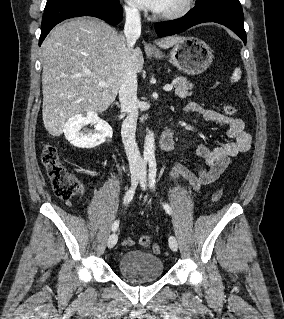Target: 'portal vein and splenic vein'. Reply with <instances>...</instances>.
<instances>
[{
  "instance_id": "obj_1",
  "label": "portal vein and splenic vein",
  "mask_w": 284,
  "mask_h": 319,
  "mask_svg": "<svg viewBox=\"0 0 284 319\" xmlns=\"http://www.w3.org/2000/svg\"><path fill=\"white\" fill-rule=\"evenodd\" d=\"M99 85L103 87V86H105V82H104V81H101V82H99ZM172 88H173V84H167V85H165V86L163 87V89H164L165 91H171Z\"/></svg>"
}]
</instances>
